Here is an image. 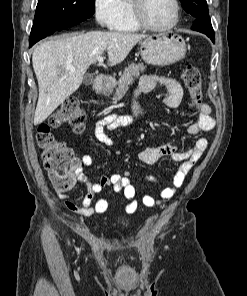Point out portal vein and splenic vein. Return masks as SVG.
Here are the masks:
<instances>
[{
    "label": "portal vein and splenic vein",
    "mask_w": 247,
    "mask_h": 296,
    "mask_svg": "<svg viewBox=\"0 0 247 296\" xmlns=\"http://www.w3.org/2000/svg\"><path fill=\"white\" fill-rule=\"evenodd\" d=\"M98 61H99V63H103L104 62V57L103 56H99L98 57ZM70 71H74V69H70Z\"/></svg>",
    "instance_id": "portal-vein-and-splenic-vein-1"
}]
</instances>
